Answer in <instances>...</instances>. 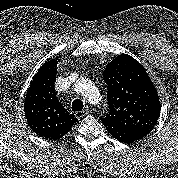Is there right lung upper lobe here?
<instances>
[{
	"label": "right lung upper lobe",
	"instance_id": "obj_1",
	"mask_svg": "<svg viewBox=\"0 0 178 178\" xmlns=\"http://www.w3.org/2000/svg\"><path fill=\"white\" fill-rule=\"evenodd\" d=\"M57 61L43 64L31 81L24 102L28 126L38 136L57 140L66 135L78 120L56 97Z\"/></svg>",
	"mask_w": 178,
	"mask_h": 178
}]
</instances>
